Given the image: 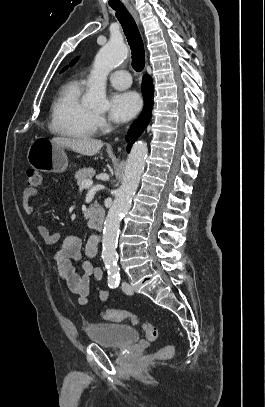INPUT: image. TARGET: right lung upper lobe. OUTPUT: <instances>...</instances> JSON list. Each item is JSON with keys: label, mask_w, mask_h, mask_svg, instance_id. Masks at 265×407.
Here are the masks:
<instances>
[{"label": "right lung upper lobe", "mask_w": 265, "mask_h": 407, "mask_svg": "<svg viewBox=\"0 0 265 407\" xmlns=\"http://www.w3.org/2000/svg\"><path fill=\"white\" fill-rule=\"evenodd\" d=\"M76 62H77V59L73 60L70 65H71V66L74 65ZM66 68H67V67H65L62 71H64Z\"/></svg>", "instance_id": "cb5924a9"}]
</instances>
